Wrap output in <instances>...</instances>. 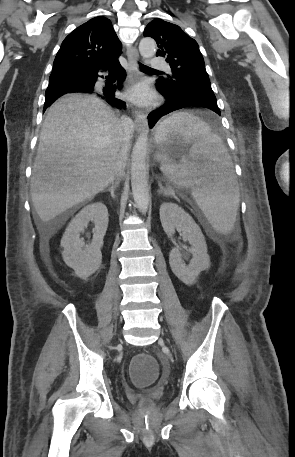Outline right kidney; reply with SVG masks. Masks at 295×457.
I'll return each mask as SVG.
<instances>
[{
	"label": "right kidney",
	"instance_id": "obj_1",
	"mask_svg": "<svg viewBox=\"0 0 295 457\" xmlns=\"http://www.w3.org/2000/svg\"><path fill=\"white\" fill-rule=\"evenodd\" d=\"M90 221L95 224L93 239L89 245H85L80 233L84 232ZM108 221L107 207L102 202H95L85 206L67 226L61 239L62 257L79 278H88L100 267L101 247Z\"/></svg>",
	"mask_w": 295,
	"mask_h": 457
}]
</instances>
